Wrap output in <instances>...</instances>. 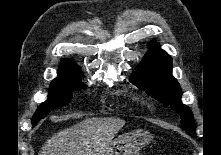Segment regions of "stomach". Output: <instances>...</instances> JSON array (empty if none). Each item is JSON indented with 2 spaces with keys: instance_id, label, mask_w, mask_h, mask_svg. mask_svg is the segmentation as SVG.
<instances>
[{
  "instance_id": "0dacf381",
  "label": "stomach",
  "mask_w": 221,
  "mask_h": 155,
  "mask_svg": "<svg viewBox=\"0 0 221 155\" xmlns=\"http://www.w3.org/2000/svg\"><path fill=\"white\" fill-rule=\"evenodd\" d=\"M152 137L145 131L136 130L117 137L103 155H139Z\"/></svg>"
}]
</instances>
